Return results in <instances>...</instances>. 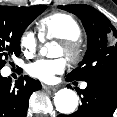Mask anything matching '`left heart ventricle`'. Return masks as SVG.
<instances>
[{
    "label": "left heart ventricle",
    "mask_w": 117,
    "mask_h": 117,
    "mask_svg": "<svg viewBox=\"0 0 117 117\" xmlns=\"http://www.w3.org/2000/svg\"><path fill=\"white\" fill-rule=\"evenodd\" d=\"M63 54H64L63 48L61 47V45H58L55 49L54 55L61 56Z\"/></svg>",
    "instance_id": "b2bd125f"
}]
</instances>
